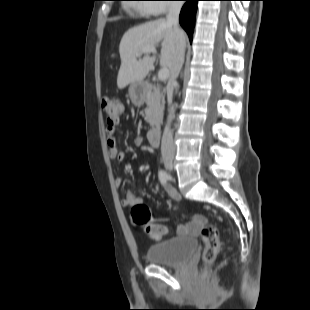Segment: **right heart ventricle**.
Masks as SVG:
<instances>
[{
	"mask_svg": "<svg viewBox=\"0 0 310 310\" xmlns=\"http://www.w3.org/2000/svg\"><path fill=\"white\" fill-rule=\"evenodd\" d=\"M149 5H143L139 8V11L144 15H153L151 8L148 7Z\"/></svg>",
	"mask_w": 310,
	"mask_h": 310,
	"instance_id": "1",
	"label": "right heart ventricle"
}]
</instances>
